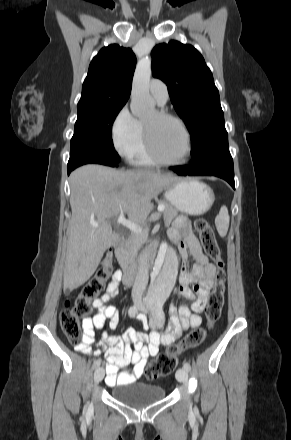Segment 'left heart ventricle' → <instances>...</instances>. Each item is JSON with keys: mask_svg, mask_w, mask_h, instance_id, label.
I'll list each match as a JSON object with an SVG mask.
<instances>
[{"mask_svg": "<svg viewBox=\"0 0 291 440\" xmlns=\"http://www.w3.org/2000/svg\"><path fill=\"white\" fill-rule=\"evenodd\" d=\"M149 128L153 143L167 161H181L187 152L186 137L181 127L170 119L159 117L153 111L143 119Z\"/></svg>", "mask_w": 291, "mask_h": 440, "instance_id": "1", "label": "left heart ventricle"}]
</instances>
